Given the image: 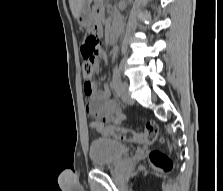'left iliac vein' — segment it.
Masks as SVG:
<instances>
[{"label":"left iliac vein","instance_id":"4c4485c4","mask_svg":"<svg viewBox=\"0 0 223 191\" xmlns=\"http://www.w3.org/2000/svg\"><path fill=\"white\" fill-rule=\"evenodd\" d=\"M119 95L122 101L126 105L134 104V100L131 98L130 93L128 91V84L126 82H121L119 86Z\"/></svg>","mask_w":223,"mask_h":191}]
</instances>
